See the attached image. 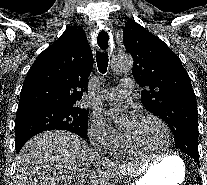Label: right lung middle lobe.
<instances>
[{
	"label": "right lung middle lobe",
	"instance_id": "dd1d6c3e",
	"mask_svg": "<svg viewBox=\"0 0 207 185\" xmlns=\"http://www.w3.org/2000/svg\"><path fill=\"white\" fill-rule=\"evenodd\" d=\"M88 111L73 108L32 107L18 110L15 120L16 152L34 135L46 130H67L87 136Z\"/></svg>",
	"mask_w": 207,
	"mask_h": 185
}]
</instances>
